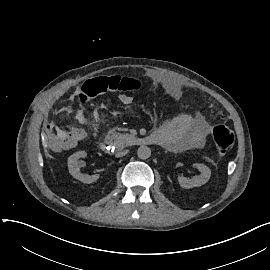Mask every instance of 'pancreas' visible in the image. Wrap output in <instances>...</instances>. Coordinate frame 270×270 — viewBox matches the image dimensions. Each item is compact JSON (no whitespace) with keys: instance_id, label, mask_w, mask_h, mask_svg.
Returning a JSON list of instances; mask_svg holds the SVG:
<instances>
[{"instance_id":"1","label":"pancreas","mask_w":270,"mask_h":270,"mask_svg":"<svg viewBox=\"0 0 270 270\" xmlns=\"http://www.w3.org/2000/svg\"><path fill=\"white\" fill-rule=\"evenodd\" d=\"M110 138L114 141V145L118 150L130 145V141L134 138L130 134L113 133Z\"/></svg>"}]
</instances>
